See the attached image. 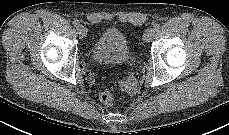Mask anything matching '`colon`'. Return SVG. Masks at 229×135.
<instances>
[{
	"label": "colon",
	"instance_id": "colon-1",
	"mask_svg": "<svg viewBox=\"0 0 229 135\" xmlns=\"http://www.w3.org/2000/svg\"><path fill=\"white\" fill-rule=\"evenodd\" d=\"M99 99L103 104L108 106L113 105L115 101L114 94L110 90L102 91L99 95Z\"/></svg>",
	"mask_w": 229,
	"mask_h": 135
}]
</instances>
